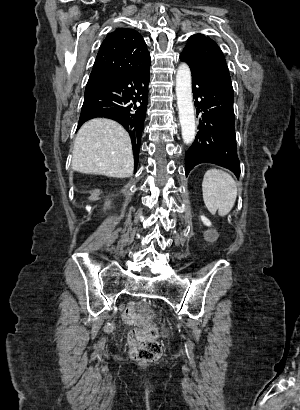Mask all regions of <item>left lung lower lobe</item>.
<instances>
[{"label":"left lung lower lobe","mask_w":300,"mask_h":410,"mask_svg":"<svg viewBox=\"0 0 300 410\" xmlns=\"http://www.w3.org/2000/svg\"><path fill=\"white\" fill-rule=\"evenodd\" d=\"M192 73V91L199 131L185 154L186 176L198 164L213 163L240 174L234 128L233 88L220 76L194 67L184 55Z\"/></svg>","instance_id":"0a47b994"}]
</instances>
